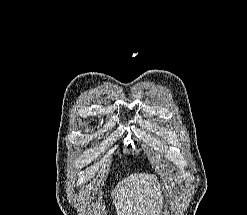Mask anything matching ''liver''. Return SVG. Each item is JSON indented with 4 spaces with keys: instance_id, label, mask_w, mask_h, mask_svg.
Instances as JSON below:
<instances>
[{
    "instance_id": "obj_1",
    "label": "liver",
    "mask_w": 247,
    "mask_h": 215,
    "mask_svg": "<svg viewBox=\"0 0 247 215\" xmlns=\"http://www.w3.org/2000/svg\"><path fill=\"white\" fill-rule=\"evenodd\" d=\"M111 196L117 215H156L162 204L160 185L151 174H133L123 179Z\"/></svg>"
}]
</instances>
